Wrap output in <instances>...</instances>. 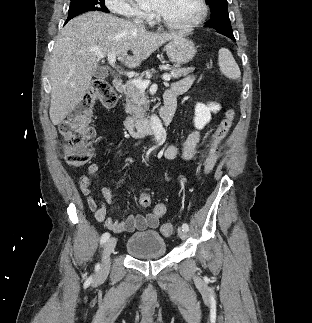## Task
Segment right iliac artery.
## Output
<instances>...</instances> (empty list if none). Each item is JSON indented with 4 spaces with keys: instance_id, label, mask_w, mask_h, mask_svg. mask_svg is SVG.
Listing matches in <instances>:
<instances>
[{
    "instance_id": "right-iliac-artery-1",
    "label": "right iliac artery",
    "mask_w": 312,
    "mask_h": 323,
    "mask_svg": "<svg viewBox=\"0 0 312 323\" xmlns=\"http://www.w3.org/2000/svg\"><path fill=\"white\" fill-rule=\"evenodd\" d=\"M110 237V234L108 232L104 233L102 236H101V244L102 243H105Z\"/></svg>"
}]
</instances>
